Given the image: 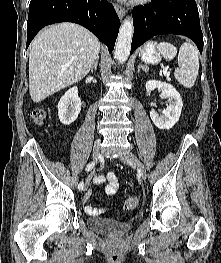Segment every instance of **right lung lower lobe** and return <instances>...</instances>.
Wrapping results in <instances>:
<instances>
[{"instance_id":"obj_1","label":"right lung lower lobe","mask_w":221,"mask_h":263,"mask_svg":"<svg viewBox=\"0 0 221 263\" xmlns=\"http://www.w3.org/2000/svg\"><path fill=\"white\" fill-rule=\"evenodd\" d=\"M58 22H74L90 30L111 53L120 20L106 0H31L27 22V45L43 27Z\"/></svg>"}]
</instances>
